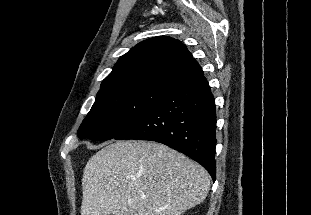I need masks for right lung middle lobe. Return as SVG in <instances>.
Returning a JSON list of instances; mask_svg holds the SVG:
<instances>
[{"instance_id": "dd1d6c3e", "label": "right lung middle lobe", "mask_w": 311, "mask_h": 215, "mask_svg": "<svg viewBox=\"0 0 311 215\" xmlns=\"http://www.w3.org/2000/svg\"><path fill=\"white\" fill-rule=\"evenodd\" d=\"M170 84H125L99 91L79 130L80 139L105 141L131 128L161 99Z\"/></svg>"}]
</instances>
